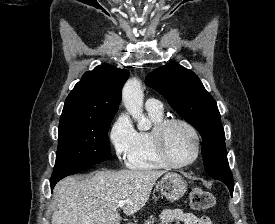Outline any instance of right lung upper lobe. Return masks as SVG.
Instances as JSON below:
<instances>
[{"label": "right lung upper lobe", "mask_w": 275, "mask_h": 224, "mask_svg": "<svg viewBox=\"0 0 275 224\" xmlns=\"http://www.w3.org/2000/svg\"><path fill=\"white\" fill-rule=\"evenodd\" d=\"M128 77L126 69L108 64L86 72L66 98L60 122L114 117Z\"/></svg>", "instance_id": "obj_1"}]
</instances>
